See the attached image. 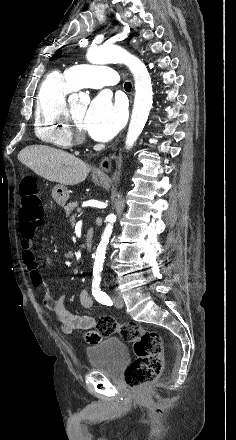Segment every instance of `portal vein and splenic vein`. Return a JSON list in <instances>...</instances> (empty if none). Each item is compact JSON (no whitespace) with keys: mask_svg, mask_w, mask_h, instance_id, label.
Masks as SVG:
<instances>
[{"mask_svg":"<svg viewBox=\"0 0 236 440\" xmlns=\"http://www.w3.org/2000/svg\"><path fill=\"white\" fill-rule=\"evenodd\" d=\"M77 212H81V208H77Z\"/></svg>","mask_w":236,"mask_h":440,"instance_id":"18ae733b","label":"portal vein and splenic vein"}]
</instances>
